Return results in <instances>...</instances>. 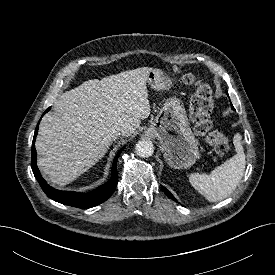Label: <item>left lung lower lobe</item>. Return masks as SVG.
<instances>
[{"label":"left lung lower lobe","mask_w":275,"mask_h":275,"mask_svg":"<svg viewBox=\"0 0 275 275\" xmlns=\"http://www.w3.org/2000/svg\"><path fill=\"white\" fill-rule=\"evenodd\" d=\"M232 109H234L233 106H232ZM162 189H163L164 193H165L170 199H173L174 201H176V199L174 198V196H173L165 187L162 186Z\"/></svg>","instance_id":"0a47b994"}]
</instances>
